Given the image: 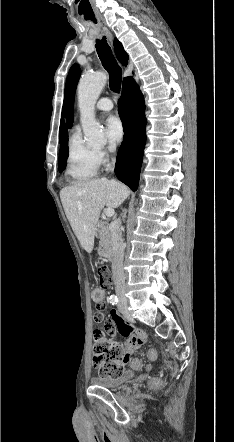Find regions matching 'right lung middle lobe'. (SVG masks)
I'll use <instances>...</instances> for the list:
<instances>
[{
	"label": "right lung middle lobe",
	"mask_w": 234,
	"mask_h": 442,
	"mask_svg": "<svg viewBox=\"0 0 234 442\" xmlns=\"http://www.w3.org/2000/svg\"><path fill=\"white\" fill-rule=\"evenodd\" d=\"M67 157H68V147L67 143L60 148V155H59V172H62L67 164Z\"/></svg>",
	"instance_id": "dd1d6c3e"
}]
</instances>
